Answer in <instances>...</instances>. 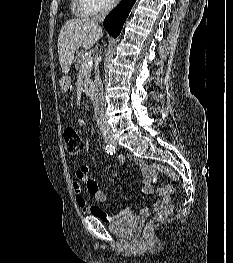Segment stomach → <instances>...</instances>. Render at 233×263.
Returning <instances> with one entry per match:
<instances>
[{"mask_svg":"<svg viewBox=\"0 0 233 263\" xmlns=\"http://www.w3.org/2000/svg\"><path fill=\"white\" fill-rule=\"evenodd\" d=\"M57 81L61 82L60 88L62 91H69L72 88V83H69L71 82V77H58Z\"/></svg>","mask_w":233,"mask_h":263,"instance_id":"0dacf381","label":"stomach"}]
</instances>
